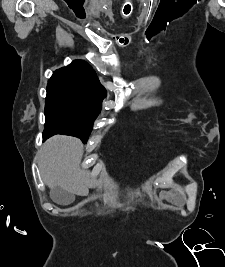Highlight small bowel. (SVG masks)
<instances>
[{"label":"small bowel","mask_w":225,"mask_h":267,"mask_svg":"<svg viewBox=\"0 0 225 267\" xmlns=\"http://www.w3.org/2000/svg\"><path fill=\"white\" fill-rule=\"evenodd\" d=\"M164 199L178 206L183 205V202H184L183 197L181 195L174 194V193L165 195Z\"/></svg>","instance_id":"c3829d8e"}]
</instances>
